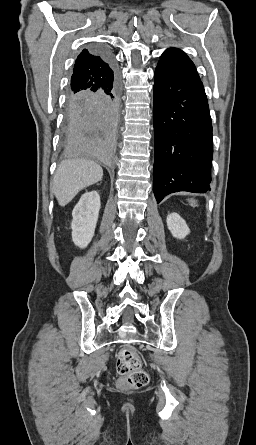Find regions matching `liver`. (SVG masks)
<instances>
[{
    "instance_id": "6515ba94",
    "label": "liver",
    "mask_w": 256,
    "mask_h": 445,
    "mask_svg": "<svg viewBox=\"0 0 256 445\" xmlns=\"http://www.w3.org/2000/svg\"><path fill=\"white\" fill-rule=\"evenodd\" d=\"M102 177L103 169L97 162L87 159L62 161L52 185L59 205H67L80 190L97 183Z\"/></svg>"
}]
</instances>
